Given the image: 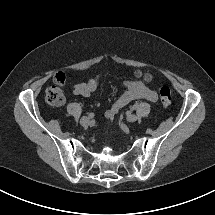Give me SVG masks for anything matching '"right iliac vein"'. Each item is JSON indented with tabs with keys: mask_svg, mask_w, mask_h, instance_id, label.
I'll return each instance as SVG.
<instances>
[{
	"mask_svg": "<svg viewBox=\"0 0 215 215\" xmlns=\"http://www.w3.org/2000/svg\"><path fill=\"white\" fill-rule=\"evenodd\" d=\"M80 124L82 126H87L90 124V118L87 117V116H83L81 119H80Z\"/></svg>",
	"mask_w": 215,
	"mask_h": 215,
	"instance_id": "1",
	"label": "right iliac vein"
}]
</instances>
